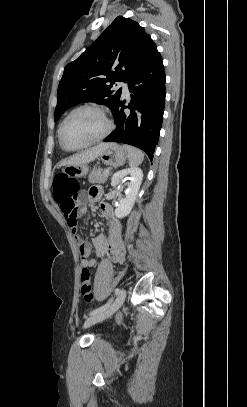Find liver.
Masks as SVG:
<instances>
[{
    "mask_svg": "<svg viewBox=\"0 0 247 407\" xmlns=\"http://www.w3.org/2000/svg\"><path fill=\"white\" fill-rule=\"evenodd\" d=\"M110 145V143H101L97 146L81 151L60 163V166L78 165L89 163L99 157V155Z\"/></svg>",
    "mask_w": 247,
    "mask_h": 407,
    "instance_id": "liver-1",
    "label": "liver"
}]
</instances>
